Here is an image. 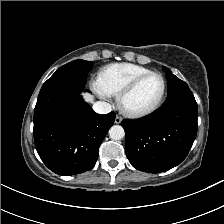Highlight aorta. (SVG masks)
I'll list each match as a JSON object with an SVG mask.
<instances>
[{
  "label": "aorta",
  "instance_id": "aorta-1",
  "mask_svg": "<svg viewBox=\"0 0 224 224\" xmlns=\"http://www.w3.org/2000/svg\"><path fill=\"white\" fill-rule=\"evenodd\" d=\"M109 136L113 140H121L125 136V131L120 125H113L109 130Z\"/></svg>",
  "mask_w": 224,
  "mask_h": 224
}]
</instances>
